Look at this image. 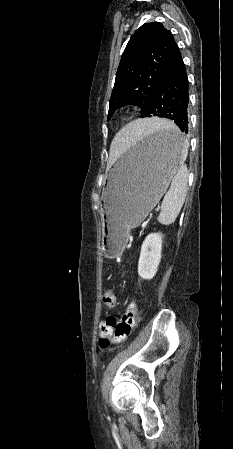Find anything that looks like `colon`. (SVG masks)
Segmentation results:
<instances>
[{
    "label": "colon",
    "mask_w": 233,
    "mask_h": 449,
    "mask_svg": "<svg viewBox=\"0 0 233 449\" xmlns=\"http://www.w3.org/2000/svg\"><path fill=\"white\" fill-rule=\"evenodd\" d=\"M103 296V303L109 309L116 307V295L113 286ZM138 316L137 303L132 301L128 304L123 316L118 319L108 316L104 328L101 330L100 344L107 347L110 343L124 342L132 333Z\"/></svg>",
    "instance_id": "5ec220e1"
}]
</instances>
